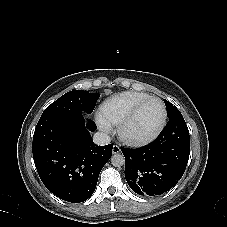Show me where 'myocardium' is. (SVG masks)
I'll list each match as a JSON object with an SVG mask.
<instances>
[{
	"label": "myocardium",
	"mask_w": 227,
	"mask_h": 227,
	"mask_svg": "<svg viewBox=\"0 0 227 227\" xmlns=\"http://www.w3.org/2000/svg\"><path fill=\"white\" fill-rule=\"evenodd\" d=\"M151 101H157L161 104L163 109V115L160 123L158 126L148 135L144 137H133L128 134V128L131 126V124L135 121L143 107L151 102ZM167 122V107L163 100H161L158 97L150 96L141 103H139L131 113H129L118 125V135L122 141H124L126 144H129L131 146H143L151 143L153 140H155L158 135L162 132Z\"/></svg>",
	"instance_id": "f54148a6"
}]
</instances>
